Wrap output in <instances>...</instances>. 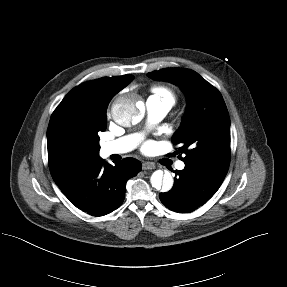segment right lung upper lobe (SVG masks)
Segmentation results:
<instances>
[{"label": "right lung upper lobe", "mask_w": 287, "mask_h": 287, "mask_svg": "<svg viewBox=\"0 0 287 287\" xmlns=\"http://www.w3.org/2000/svg\"><path fill=\"white\" fill-rule=\"evenodd\" d=\"M134 76L103 77L72 89L53 112L47 129L48 162L53 180L67 191L83 171L99 157L86 154L71 144V136L83 111L93 108L106 115L112 97L126 87Z\"/></svg>", "instance_id": "obj_1"}]
</instances>
